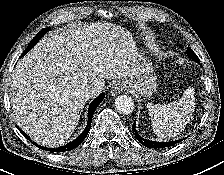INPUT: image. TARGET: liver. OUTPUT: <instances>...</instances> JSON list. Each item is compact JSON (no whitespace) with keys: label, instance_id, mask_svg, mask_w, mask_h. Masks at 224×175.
<instances>
[{"label":"liver","instance_id":"obj_1","mask_svg":"<svg viewBox=\"0 0 224 175\" xmlns=\"http://www.w3.org/2000/svg\"><path fill=\"white\" fill-rule=\"evenodd\" d=\"M138 57L130 32L113 23L52 31L13 72L10 99L17 125L38 144H62L89 99L85 87L102 90L105 80L133 78Z\"/></svg>","mask_w":224,"mask_h":175}]
</instances>
